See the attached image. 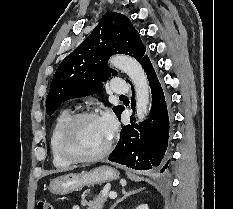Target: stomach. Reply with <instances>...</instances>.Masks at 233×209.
Here are the masks:
<instances>
[{
  "instance_id": "stomach-1",
  "label": "stomach",
  "mask_w": 233,
  "mask_h": 209,
  "mask_svg": "<svg viewBox=\"0 0 233 209\" xmlns=\"http://www.w3.org/2000/svg\"><path fill=\"white\" fill-rule=\"evenodd\" d=\"M119 175L116 169L109 166H101L81 173H68L53 179L49 184V190L56 195H65L79 191L85 186L101 185L117 180Z\"/></svg>"
}]
</instances>
